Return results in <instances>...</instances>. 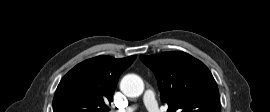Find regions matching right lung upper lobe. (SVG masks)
I'll return each instance as SVG.
<instances>
[{"label":"right lung upper lobe","instance_id":"cb5924a9","mask_svg":"<svg viewBox=\"0 0 270 112\" xmlns=\"http://www.w3.org/2000/svg\"><path fill=\"white\" fill-rule=\"evenodd\" d=\"M135 59L102 55L79 63L60 81L53 112H108L120 74Z\"/></svg>","mask_w":270,"mask_h":112}]
</instances>
